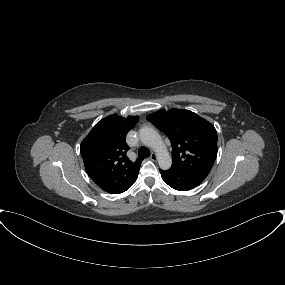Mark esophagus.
Listing matches in <instances>:
<instances>
[{"mask_svg":"<svg viewBox=\"0 0 285 285\" xmlns=\"http://www.w3.org/2000/svg\"><path fill=\"white\" fill-rule=\"evenodd\" d=\"M150 159L152 161H156L157 160V155L155 153H152L151 156H150Z\"/></svg>","mask_w":285,"mask_h":285,"instance_id":"obj_1","label":"esophagus"}]
</instances>
